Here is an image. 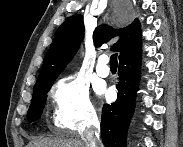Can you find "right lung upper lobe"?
Listing matches in <instances>:
<instances>
[{"mask_svg": "<svg viewBox=\"0 0 183 147\" xmlns=\"http://www.w3.org/2000/svg\"><path fill=\"white\" fill-rule=\"evenodd\" d=\"M140 27L138 19L121 29H113L107 25L100 26L94 31V44L100 46L119 35L120 39L111 49L120 52V58L133 54L141 50ZM83 34L84 24L82 16L79 14L69 17L58 28L34 86V91L52 86L78 50Z\"/></svg>", "mask_w": 183, "mask_h": 147, "instance_id": "right-lung-upper-lobe-1", "label": "right lung upper lobe"}]
</instances>
